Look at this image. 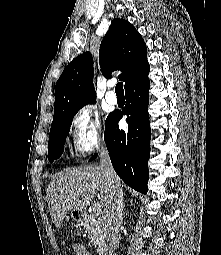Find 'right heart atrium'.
Returning a JSON list of instances; mask_svg holds the SVG:
<instances>
[{"mask_svg":"<svg viewBox=\"0 0 221 255\" xmlns=\"http://www.w3.org/2000/svg\"><path fill=\"white\" fill-rule=\"evenodd\" d=\"M70 126L72 142L79 154H89L102 144L100 118L92 108L80 107L73 115Z\"/></svg>","mask_w":221,"mask_h":255,"instance_id":"d8ad5b80","label":"right heart atrium"}]
</instances>
